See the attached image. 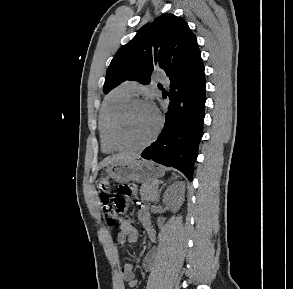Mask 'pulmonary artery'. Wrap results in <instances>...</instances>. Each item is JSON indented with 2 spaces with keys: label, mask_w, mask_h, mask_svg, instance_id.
I'll return each mask as SVG.
<instances>
[{
  "label": "pulmonary artery",
  "mask_w": 293,
  "mask_h": 289,
  "mask_svg": "<svg viewBox=\"0 0 293 289\" xmlns=\"http://www.w3.org/2000/svg\"><path fill=\"white\" fill-rule=\"evenodd\" d=\"M159 81L163 82V83H169V80L163 77H159ZM124 88L129 92V93H133L136 91L138 84L135 81H126L123 84Z\"/></svg>",
  "instance_id": "pulmonary-artery-1"
}]
</instances>
